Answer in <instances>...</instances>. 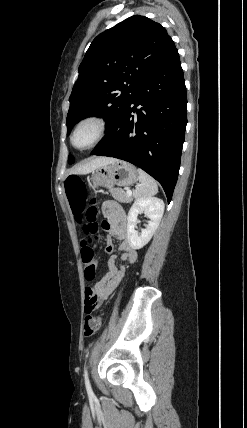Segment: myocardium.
Segmentation results:
<instances>
[{
  "label": "myocardium",
  "mask_w": 247,
  "mask_h": 428,
  "mask_svg": "<svg viewBox=\"0 0 247 428\" xmlns=\"http://www.w3.org/2000/svg\"><path fill=\"white\" fill-rule=\"evenodd\" d=\"M88 124H92L96 127L95 137L86 146H82V147L77 146L75 143V136L83 126ZM107 130H108L107 121L102 115H99V114L86 115L81 119H79L77 123L74 125L72 132L70 134V144L72 145L73 148L80 151L90 150L95 146H97L103 140V138L107 133Z\"/></svg>",
  "instance_id": "1"
}]
</instances>
